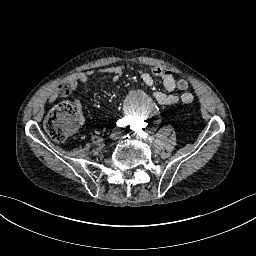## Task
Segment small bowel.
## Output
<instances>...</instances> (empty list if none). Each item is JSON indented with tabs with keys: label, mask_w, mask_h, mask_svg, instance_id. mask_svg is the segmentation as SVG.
<instances>
[{
	"label": "small bowel",
	"mask_w": 256,
	"mask_h": 256,
	"mask_svg": "<svg viewBox=\"0 0 256 256\" xmlns=\"http://www.w3.org/2000/svg\"><path fill=\"white\" fill-rule=\"evenodd\" d=\"M101 74L110 75L113 81H119L125 72V68L123 66H112L99 70ZM93 71L79 72L72 75L68 79V84L71 86V91H74L77 87L78 83H87L90 80V77L93 76ZM155 78H158L162 81L163 86L166 90L164 91H156L154 93L155 100L161 105H172L179 101V99L185 103L189 104L193 101L194 96L191 92L185 91L186 89H178L176 87V78L174 74L167 68L164 67H154L151 72H143L141 73V80L149 87L154 85ZM184 91L180 97L173 94L175 90ZM58 97L57 92H53L50 96V100L54 101ZM74 106L77 109L76 114L79 117V122H84V114L81 102L78 99L74 100Z\"/></svg>",
	"instance_id": "obj_1"
}]
</instances>
